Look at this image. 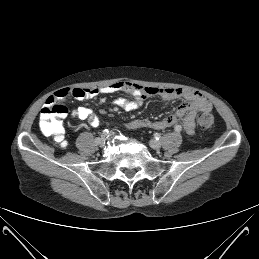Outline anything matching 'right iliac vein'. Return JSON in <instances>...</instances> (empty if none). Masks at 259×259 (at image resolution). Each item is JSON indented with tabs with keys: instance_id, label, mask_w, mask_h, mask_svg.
Returning <instances> with one entry per match:
<instances>
[{
	"instance_id": "obj_1",
	"label": "right iliac vein",
	"mask_w": 259,
	"mask_h": 259,
	"mask_svg": "<svg viewBox=\"0 0 259 259\" xmlns=\"http://www.w3.org/2000/svg\"><path fill=\"white\" fill-rule=\"evenodd\" d=\"M106 139L101 137L98 142H96L99 146L103 147L105 145Z\"/></svg>"
}]
</instances>
